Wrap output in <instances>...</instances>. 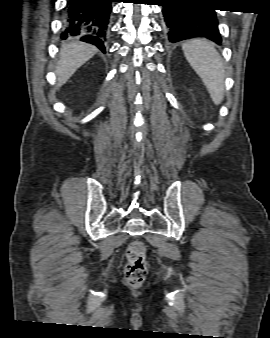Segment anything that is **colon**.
<instances>
[{
    "mask_svg": "<svg viewBox=\"0 0 270 338\" xmlns=\"http://www.w3.org/2000/svg\"><path fill=\"white\" fill-rule=\"evenodd\" d=\"M147 273L146 247L143 242L135 240L126 249L124 275L129 286L140 287Z\"/></svg>",
    "mask_w": 270,
    "mask_h": 338,
    "instance_id": "1",
    "label": "colon"
}]
</instances>
